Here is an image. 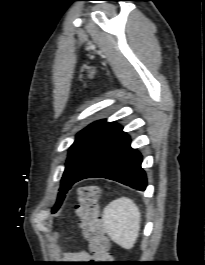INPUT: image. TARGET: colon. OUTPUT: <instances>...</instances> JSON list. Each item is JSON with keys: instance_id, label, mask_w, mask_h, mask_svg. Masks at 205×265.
I'll use <instances>...</instances> for the list:
<instances>
[{"instance_id": "colon-1", "label": "colon", "mask_w": 205, "mask_h": 265, "mask_svg": "<svg viewBox=\"0 0 205 265\" xmlns=\"http://www.w3.org/2000/svg\"><path fill=\"white\" fill-rule=\"evenodd\" d=\"M99 188L94 185L79 190V201L76 207L85 239L93 255L92 264L102 265L110 259L109 240L105 236L99 216Z\"/></svg>"}]
</instances>
